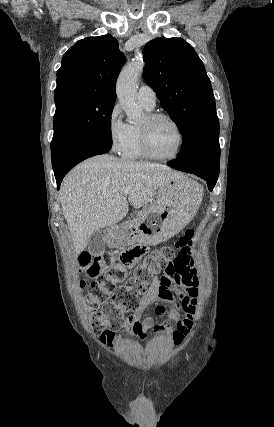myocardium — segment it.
Instances as JSON below:
<instances>
[{
  "mask_svg": "<svg viewBox=\"0 0 274 427\" xmlns=\"http://www.w3.org/2000/svg\"><path fill=\"white\" fill-rule=\"evenodd\" d=\"M158 120H165V121L169 122L174 127V129L177 133V137H178L177 149H176L174 154H172L171 156H168V157L158 156V155L154 154L149 148L148 130H149V127ZM137 135H138V144H139V148H140L142 155L148 159H151V160L161 161V162L171 161V160L178 158L180 156L182 150H183V145H184L183 132H182L179 124L176 122V120L174 118H172L171 116H169L168 114H165V113H148V114H146V116L144 117L143 123L139 124L137 126Z\"/></svg>",
  "mask_w": 274,
  "mask_h": 427,
  "instance_id": "1",
  "label": "myocardium"
}]
</instances>
